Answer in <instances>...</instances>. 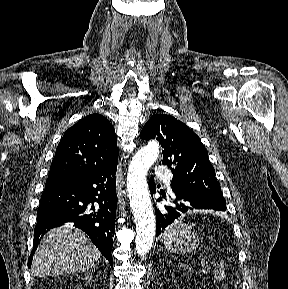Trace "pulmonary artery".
I'll return each instance as SVG.
<instances>
[{
  "label": "pulmonary artery",
  "mask_w": 288,
  "mask_h": 289,
  "mask_svg": "<svg viewBox=\"0 0 288 289\" xmlns=\"http://www.w3.org/2000/svg\"><path fill=\"white\" fill-rule=\"evenodd\" d=\"M156 177L163 180L167 187H171V180H172V175L171 173L165 169V168H157L156 169Z\"/></svg>",
  "instance_id": "pulmonary-artery-1"
}]
</instances>
